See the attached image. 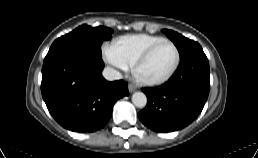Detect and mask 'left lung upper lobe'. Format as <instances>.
I'll use <instances>...</instances> for the list:
<instances>
[{
    "instance_id": "obj_1",
    "label": "left lung upper lobe",
    "mask_w": 258,
    "mask_h": 158,
    "mask_svg": "<svg viewBox=\"0 0 258 158\" xmlns=\"http://www.w3.org/2000/svg\"><path fill=\"white\" fill-rule=\"evenodd\" d=\"M162 31L167 35V37L170 40L173 41V43L175 44V46L179 51L180 58L184 57L192 47L198 45L197 42H194L188 38H185L184 36H182L177 32L167 30V29H164Z\"/></svg>"
}]
</instances>
